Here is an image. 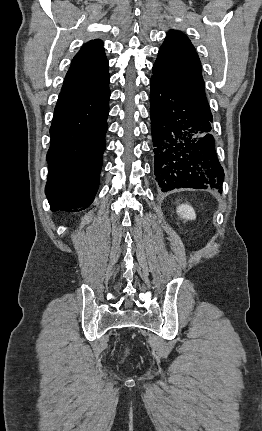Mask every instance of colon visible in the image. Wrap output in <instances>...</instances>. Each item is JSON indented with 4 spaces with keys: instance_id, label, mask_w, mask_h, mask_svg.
I'll return each instance as SVG.
<instances>
[{
    "instance_id": "5ec220e1",
    "label": "colon",
    "mask_w": 262,
    "mask_h": 431,
    "mask_svg": "<svg viewBox=\"0 0 262 431\" xmlns=\"http://www.w3.org/2000/svg\"><path fill=\"white\" fill-rule=\"evenodd\" d=\"M129 354H130V352H129V350H127V351L125 352V355H124L123 360L127 359V358H128V356H129Z\"/></svg>"
}]
</instances>
